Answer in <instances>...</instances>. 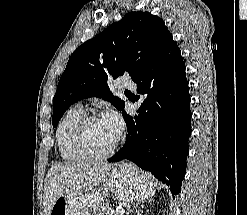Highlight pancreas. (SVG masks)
<instances>
[{"label": "pancreas", "instance_id": "1", "mask_svg": "<svg viewBox=\"0 0 247 215\" xmlns=\"http://www.w3.org/2000/svg\"><path fill=\"white\" fill-rule=\"evenodd\" d=\"M93 215H119L117 211L112 208L107 207L106 204H100L96 206L93 210Z\"/></svg>", "mask_w": 247, "mask_h": 215}]
</instances>
